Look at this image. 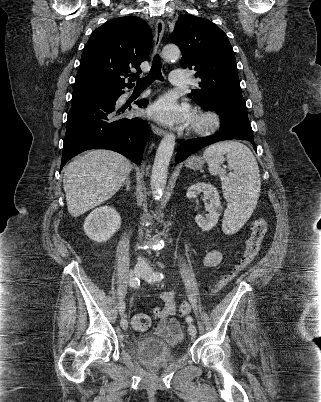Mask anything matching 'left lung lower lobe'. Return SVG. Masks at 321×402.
<instances>
[{"label":"left lung lower lobe","mask_w":321,"mask_h":402,"mask_svg":"<svg viewBox=\"0 0 321 402\" xmlns=\"http://www.w3.org/2000/svg\"><path fill=\"white\" fill-rule=\"evenodd\" d=\"M211 109L220 115V131L211 136L186 140L177 153V163L199 149L223 140L245 139L256 149L244 99L224 100Z\"/></svg>","instance_id":"0a47b994"}]
</instances>
